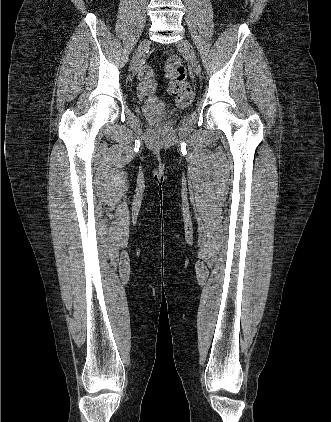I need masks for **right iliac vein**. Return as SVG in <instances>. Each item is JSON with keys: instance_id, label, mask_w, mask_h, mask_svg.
Masks as SVG:
<instances>
[{"instance_id": "63e3f726", "label": "right iliac vein", "mask_w": 331, "mask_h": 422, "mask_svg": "<svg viewBox=\"0 0 331 422\" xmlns=\"http://www.w3.org/2000/svg\"><path fill=\"white\" fill-rule=\"evenodd\" d=\"M148 44H149V41L147 39H144L143 41H141L130 63V66H129L130 71L136 70L139 67V65L141 64V59L147 49Z\"/></svg>"}]
</instances>
